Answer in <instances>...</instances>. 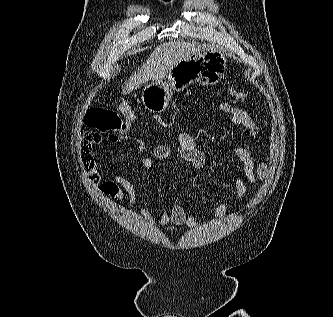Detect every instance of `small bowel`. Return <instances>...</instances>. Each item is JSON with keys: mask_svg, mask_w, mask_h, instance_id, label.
Returning a JSON list of instances; mask_svg holds the SVG:
<instances>
[{"mask_svg": "<svg viewBox=\"0 0 333 317\" xmlns=\"http://www.w3.org/2000/svg\"><path fill=\"white\" fill-rule=\"evenodd\" d=\"M219 109L229 115L230 122L233 125L244 127L254 137L258 135V128L247 111L229 103L219 104ZM107 140L110 142L133 140L137 144L139 150L142 151L145 149V145L141 140L132 139L126 135L118 136L110 134L107 136ZM102 142L103 138L101 135L94 132L86 133L81 141L80 158L83 166L88 171V180L90 184L99 193L121 202L125 199V196H127L130 199V202L135 206L137 203V191L132 180L117 175H113L105 180L102 178V175L97 168L93 153V148L102 144ZM175 150L179 157L191 167L201 169L205 166V153L198 147L195 138L191 134L181 131L178 135ZM172 152L173 149L168 145L160 144L155 146L150 155L142 158L139 171L134 174L133 178L137 177L139 172L151 169L154 166L155 161H168L171 158ZM227 152L242 164L244 178L241 176H235L233 183L237 200L239 203H243L248 191V186L254 185L257 181L265 179L268 168L264 163H256L251 153L243 147L230 146L227 148ZM225 214L226 206L223 201H219L214 210V220H222ZM145 215L148 217V220L152 222L149 214L145 213ZM152 224H154V222H152ZM158 224L160 226H167L169 224L175 226H187L192 229H195L198 226L196 218L192 214L187 213L184 207L179 203H174L169 211H162Z\"/></svg>", "mask_w": 333, "mask_h": 317, "instance_id": "obj_1", "label": "small bowel"}]
</instances>
